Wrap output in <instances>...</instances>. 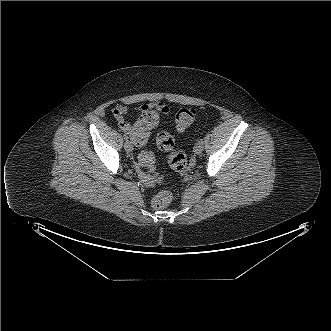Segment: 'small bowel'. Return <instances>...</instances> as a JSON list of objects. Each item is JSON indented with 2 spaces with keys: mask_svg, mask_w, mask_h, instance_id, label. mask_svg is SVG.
Masks as SVG:
<instances>
[{
  "mask_svg": "<svg viewBox=\"0 0 331 331\" xmlns=\"http://www.w3.org/2000/svg\"><path fill=\"white\" fill-rule=\"evenodd\" d=\"M147 109H154L157 112H160L163 114H167L169 112V107L162 102H155V103H149L147 105H144L140 108V112L142 110H147ZM127 112H128V109L125 105H117L113 109V116L115 117L120 130L126 134H129L135 145L143 146L147 141L141 142V143H137L135 141V139L138 137L136 123L134 125H132L125 119ZM146 157H152V154L148 151L142 152L140 155V161L142 163H144V160Z\"/></svg>",
  "mask_w": 331,
  "mask_h": 331,
  "instance_id": "1",
  "label": "small bowel"
}]
</instances>
